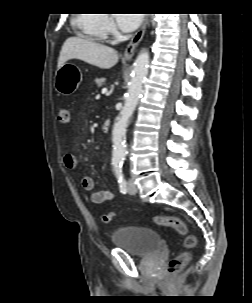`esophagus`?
<instances>
[{
    "mask_svg": "<svg viewBox=\"0 0 252 303\" xmlns=\"http://www.w3.org/2000/svg\"><path fill=\"white\" fill-rule=\"evenodd\" d=\"M149 21H150V16L145 15V18L143 20L141 27L135 33V35L132 37L131 41L129 42V44L127 45V47L125 49L124 59L130 60L133 57L136 47L138 46V44L140 43V41L142 40V38L144 36V33L149 24Z\"/></svg>",
    "mask_w": 252,
    "mask_h": 303,
    "instance_id": "1",
    "label": "esophagus"
}]
</instances>
